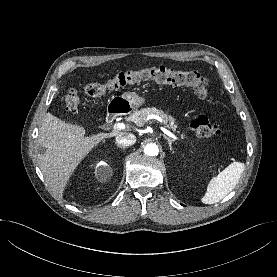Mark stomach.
Here are the masks:
<instances>
[{
  "label": "stomach",
  "instance_id": "1",
  "mask_svg": "<svg viewBox=\"0 0 277 277\" xmlns=\"http://www.w3.org/2000/svg\"><path fill=\"white\" fill-rule=\"evenodd\" d=\"M145 103V99L136 92H125L122 96L113 97L109 101V107L116 112L128 114Z\"/></svg>",
  "mask_w": 277,
  "mask_h": 277
}]
</instances>
